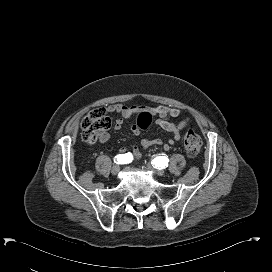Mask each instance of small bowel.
Here are the masks:
<instances>
[{
	"mask_svg": "<svg viewBox=\"0 0 272 272\" xmlns=\"http://www.w3.org/2000/svg\"><path fill=\"white\" fill-rule=\"evenodd\" d=\"M146 111L150 116L155 118V124L164 130L171 132L173 137L170 138L166 143H164L161 139H143L140 143L142 149H148L155 145H162L165 150L169 149L170 145L177 143L181 138V130L187 124L188 119H184L179 123H174L170 119L173 117H178L182 114V111L176 108H171L168 106H157V107H145V106H127L124 104H113L107 107V111L112 114H117L119 118L116 119L114 123V129L120 130L125 121L130 119L133 115L138 113L139 111ZM149 122L146 124L136 123L132 127V131L134 134L139 135L142 130L147 128ZM110 138V134L108 132H102L99 135V141L104 143L107 142ZM134 157L138 160L141 157V152L139 150L138 145H133L132 147ZM120 153H125L128 151V148L122 146L119 149Z\"/></svg>",
	"mask_w": 272,
	"mask_h": 272,
	"instance_id": "c3829d8e",
	"label": "small bowel"
}]
</instances>
